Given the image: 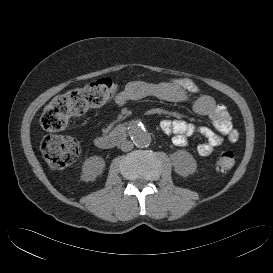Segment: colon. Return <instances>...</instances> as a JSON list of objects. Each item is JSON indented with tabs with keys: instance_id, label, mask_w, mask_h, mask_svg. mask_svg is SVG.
<instances>
[{
	"instance_id": "1",
	"label": "colon",
	"mask_w": 273,
	"mask_h": 273,
	"mask_svg": "<svg viewBox=\"0 0 273 273\" xmlns=\"http://www.w3.org/2000/svg\"><path fill=\"white\" fill-rule=\"evenodd\" d=\"M120 90L119 84L104 78L83 88L75 89L55 98L43 110L40 123L47 131H59L66 127L72 116L85 113L113 100ZM41 152L47 164L56 170L73 164L80 154L79 143L69 136H49L41 143ZM235 163L233 152L221 153L216 166L221 171L231 169Z\"/></svg>"
}]
</instances>
